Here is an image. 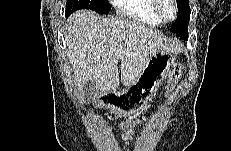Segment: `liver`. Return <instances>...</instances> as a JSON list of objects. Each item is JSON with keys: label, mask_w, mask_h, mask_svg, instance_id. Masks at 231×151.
I'll return each instance as SVG.
<instances>
[{"label": "liver", "mask_w": 231, "mask_h": 151, "mask_svg": "<svg viewBox=\"0 0 231 151\" xmlns=\"http://www.w3.org/2000/svg\"><path fill=\"white\" fill-rule=\"evenodd\" d=\"M66 53L79 89L93 81L100 95L130 86L158 51L174 53L181 44L158 30L119 17L78 10L67 20ZM118 64H120V77Z\"/></svg>", "instance_id": "1"}]
</instances>
